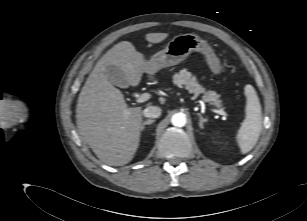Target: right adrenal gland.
I'll use <instances>...</instances> for the list:
<instances>
[{"label":"right adrenal gland","mask_w":307,"mask_h":221,"mask_svg":"<svg viewBox=\"0 0 307 221\" xmlns=\"http://www.w3.org/2000/svg\"><path fill=\"white\" fill-rule=\"evenodd\" d=\"M154 122H155L154 119H153V120H147V121H145V122L142 124V127H141L142 131L144 130V128H145L146 125H151V124H153Z\"/></svg>","instance_id":"right-adrenal-gland-1"}]
</instances>
